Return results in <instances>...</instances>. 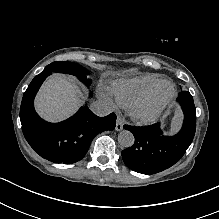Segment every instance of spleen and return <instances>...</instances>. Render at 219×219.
Segmentation results:
<instances>
[{
    "mask_svg": "<svg viewBox=\"0 0 219 219\" xmlns=\"http://www.w3.org/2000/svg\"><path fill=\"white\" fill-rule=\"evenodd\" d=\"M184 112L182 110L181 104L178 102L175 107L174 117L172 120L171 129L165 135L167 137H175L182 129L184 122Z\"/></svg>",
    "mask_w": 219,
    "mask_h": 219,
    "instance_id": "spleen-1",
    "label": "spleen"
}]
</instances>
